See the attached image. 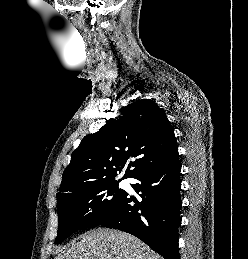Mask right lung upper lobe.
I'll return each instance as SVG.
<instances>
[{
    "instance_id": "1",
    "label": "right lung upper lobe",
    "mask_w": 248,
    "mask_h": 259,
    "mask_svg": "<svg viewBox=\"0 0 248 259\" xmlns=\"http://www.w3.org/2000/svg\"><path fill=\"white\" fill-rule=\"evenodd\" d=\"M120 112L119 118L107 120L98 132L86 135L73 151L57 200L73 188L115 180L125 166L122 179L178 154L173 127L154 101L141 99Z\"/></svg>"
}]
</instances>
